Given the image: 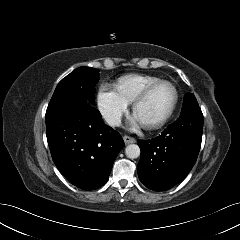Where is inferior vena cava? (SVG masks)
<instances>
[{
  "label": "inferior vena cava",
  "mask_w": 240,
  "mask_h": 240,
  "mask_svg": "<svg viewBox=\"0 0 240 240\" xmlns=\"http://www.w3.org/2000/svg\"><path fill=\"white\" fill-rule=\"evenodd\" d=\"M106 121L111 126H119L121 124V115L118 113H111L106 116Z\"/></svg>",
  "instance_id": "obj_1"
}]
</instances>
